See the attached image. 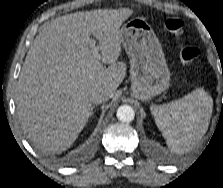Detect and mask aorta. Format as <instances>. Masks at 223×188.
I'll return each mask as SVG.
<instances>
[{"mask_svg": "<svg viewBox=\"0 0 223 188\" xmlns=\"http://www.w3.org/2000/svg\"><path fill=\"white\" fill-rule=\"evenodd\" d=\"M117 118L122 122H131L134 120L135 113L131 106L122 105L117 109Z\"/></svg>", "mask_w": 223, "mask_h": 188, "instance_id": "1", "label": "aorta"}]
</instances>
